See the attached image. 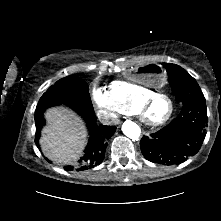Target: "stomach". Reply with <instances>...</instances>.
Masks as SVG:
<instances>
[{
    "mask_svg": "<svg viewBox=\"0 0 221 221\" xmlns=\"http://www.w3.org/2000/svg\"><path fill=\"white\" fill-rule=\"evenodd\" d=\"M132 80L144 87L157 88L164 81L162 67L157 63L137 65L131 71Z\"/></svg>",
    "mask_w": 221,
    "mask_h": 221,
    "instance_id": "obj_1",
    "label": "stomach"
}]
</instances>
